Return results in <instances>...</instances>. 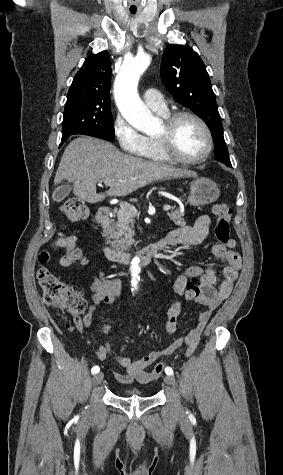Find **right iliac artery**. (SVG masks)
Instances as JSON below:
<instances>
[{
	"mask_svg": "<svg viewBox=\"0 0 283 475\" xmlns=\"http://www.w3.org/2000/svg\"><path fill=\"white\" fill-rule=\"evenodd\" d=\"M100 371V368L98 366H94L92 369H91V372L92 374H96Z\"/></svg>",
	"mask_w": 283,
	"mask_h": 475,
	"instance_id": "1",
	"label": "right iliac artery"
}]
</instances>
